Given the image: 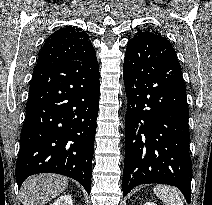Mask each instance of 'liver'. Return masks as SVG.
<instances>
[{"label": "liver", "instance_id": "1", "mask_svg": "<svg viewBox=\"0 0 212 205\" xmlns=\"http://www.w3.org/2000/svg\"><path fill=\"white\" fill-rule=\"evenodd\" d=\"M68 186V178L55 174H38L26 179L21 186L23 205H45L62 194Z\"/></svg>", "mask_w": 212, "mask_h": 205}]
</instances>
